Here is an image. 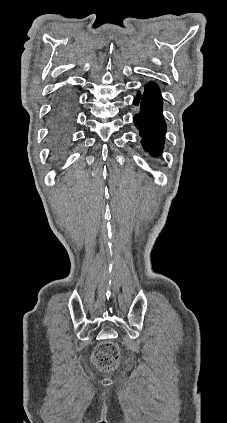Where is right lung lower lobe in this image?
<instances>
[{
    "label": "right lung lower lobe",
    "instance_id": "98d812e1",
    "mask_svg": "<svg viewBox=\"0 0 227 423\" xmlns=\"http://www.w3.org/2000/svg\"><path fill=\"white\" fill-rule=\"evenodd\" d=\"M69 141V133L66 127L60 121L55 122L51 129V157L53 161H58L64 156L68 150Z\"/></svg>",
    "mask_w": 227,
    "mask_h": 423
}]
</instances>
